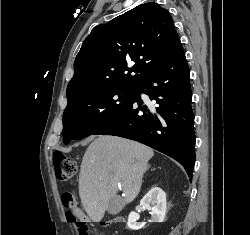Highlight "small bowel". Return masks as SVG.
<instances>
[{"label":"small bowel","mask_w":250,"mask_h":235,"mask_svg":"<svg viewBox=\"0 0 250 235\" xmlns=\"http://www.w3.org/2000/svg\"><path fill=\"white\" fill-rule=\"evenodd\" d=\"M73 212H74V214H75L76 216H78V217H80V218H84V214H83V212L81 211L80 208L74 207V208H73Z\"/></svg>","instance_id":"obj_1"}]
</instances>
